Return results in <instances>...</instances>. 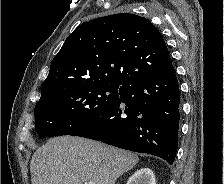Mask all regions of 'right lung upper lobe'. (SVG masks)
Listing matches in <instances>:
<instances>
[{"mask_svg": "<svg viewBox=\"0 0 224 184\" xmlns=\"http://www.w3.org/2000/svg\"><path fill=\"white\" fill-rule=\"evenodd\" d=\"M172 69L165 41L148 19L129 13L105 16L79 25L67 37L39 102L82 83L124 85Z\"/></svg>", "mask_w": 224, "mask_h": 184, "instance_id": "right-lung-upper-lobe-1", "label": "right lung upper lobe"}]
</instances>
